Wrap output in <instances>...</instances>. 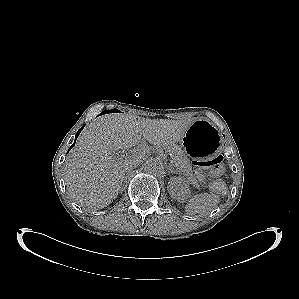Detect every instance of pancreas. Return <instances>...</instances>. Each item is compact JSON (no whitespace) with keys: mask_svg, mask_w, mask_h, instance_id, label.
Returning <instances> with one entry per match:
<instances>
[{"mask_svg":"<svg viewBox=\"0 0 299 299\" xmlns=\"http://www.w3.org/2000/svg\"><path fill=\"white\" fill-rule=\"evenodd\" d=\"M166 151L172 153V159L174 161L176 169L179 172H182L185 176H187L194 187L199 188L198 182L200 181V179L193 176L190 160L184 153V151L181 150V148L177 145L168 146L166 148Z\"/></svg>","mask_w":299,"mask_h":299,"instance_id":"cf45deb5","label":"pancreas"}]
</instances>
